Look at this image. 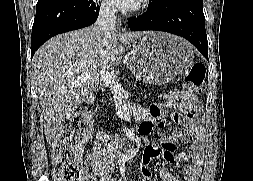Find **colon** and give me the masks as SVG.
<instances>
[{"mask_svg":"<svg viewBox=\"0 0 253 181\" xmlns=\"http://www.w3.org/2000/svg\"><path fill=\"white\" fill-rule=\"evenodd\" d=\"M204 78V64L195 62L184 79L181 97L185 105L182 113L189 119L194 117L192 103L202 88ZM90 133L91 127L82 115L73 116L65 122L52 148L55 181H91L86 175L81 153Z\"/></svg>","mask_w":253,"mask_h":181,"instance_id":"5ec220e1","label":"colon"}]
</instances>
